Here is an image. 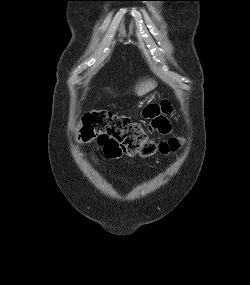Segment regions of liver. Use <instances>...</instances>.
<instances>
[{"label": "liver", "instance_id": "6515ba94", "mask_svg": "<svg viewBox=\"0 0 250 285\" xmlns=\"http://www.w3.org/2000/svg\"><path fill=\"white\" fill-rule=\"evenodd\" d=\"M156 86V83L152 80H147L141 82L139 85L136 87V94L141 96L152 90Z\"/></svg>", "mask_w": 250, "mask_h": 285}]
</instances>
